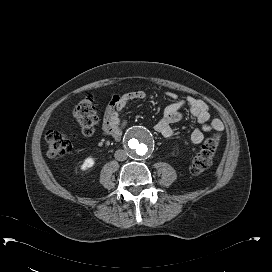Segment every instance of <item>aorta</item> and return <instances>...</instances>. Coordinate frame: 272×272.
<instances>
[{
    "label": "aorta",
    "mask_w": 272,
    "mask_h": 272,
    "mask_svg": "<svg viewBox=\"0 0 272 272\" xmlns=\"http://www.w3.org/2000/svg\"><path fill=\"white\" fill-rule=\"evenodd\" d=\"M125 143L129 155L139 159L148 156L154 146V139L149 130L135 126L127 132Z\"/></svg>",
    "instance_id": "1"
}]
</instances>
